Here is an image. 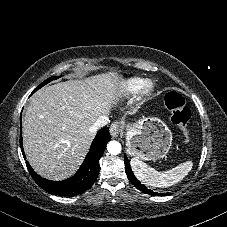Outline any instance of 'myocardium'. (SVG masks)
I'll list each match as a JSON object with an SVG mask.
<instances>
[{
    "mask_svg": "<svg viewBox=\"0 0 227 227\" xmlns=\"http://www.w3.org/2000/svg\"><path fill=\"white\" fill-rule=\"evenodd\" d=\"M153 91V86L150 82H143L139 87V95L141 99L147 98Z\"/></svg>",
    "mask_w": 227,
    "mask_h": 227,
    "instance_id": "obj_1",
    "label": "myocardium"
}]
</instances>
